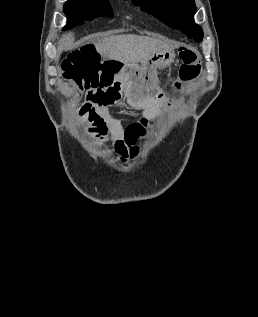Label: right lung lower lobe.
Instances as JSON below:
<instances>
[{
    "mask_svg": "<svg viewBox=\"0 0 258 317\" xmlns=\"http://www.w3.org/2000/svg\"><path fill=\"white\" fill-rule=\"evenodd\" d=\"M68 19V24L65 27V29L72 28L76 25L82 24L84 21H87L85 19H82L80 16L76 14H70V13H65Z\"/></svg>",
    "mask_w": 258,
    "mask_h": 317,
    "instance_id": "right-lung-lower-lobe-1",
    "label": "right lung lower lobe"
}]
</instances>
